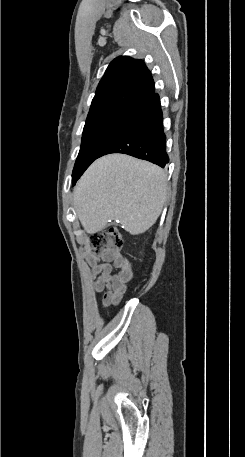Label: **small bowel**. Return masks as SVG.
Instances as JSON below:
<instances>
[{
    "mask_svg": "<svg viewBox=\"0 0 245 457\" xmlns=\"http://www.w3.org/2000/svg\"><path fill=\"white\" fill-rule=\"evenodd\" d=\"M87 264L90 267L94 291L104 292L103 307L118 305L127 290V284L134 276L128 258L122 253L107 256L89 255Z\"/></svg>",
    "mask_w": 245,
    "mask_h": 457,
    "instance_id": "obj_1",
    "label": "small bowel"
}]
</instances>
